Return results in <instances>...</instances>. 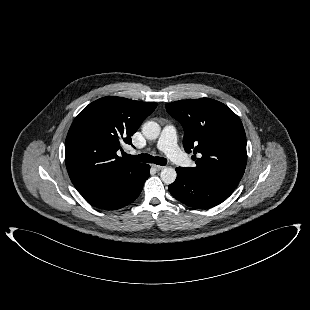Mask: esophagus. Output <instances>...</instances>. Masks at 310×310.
<instances>
[{
    "instance_id": "obj_1",
    "label": "esophagus",
    "mask_w": 310,
    "mask_h": 310,
    "mask_svg": "<svg viewBox=\"0 0 310 310\" xmlns=\"http://www.w3.org/2000/svg\"><path fill=\"white\" fill-rule=\"evenodd\" d=\"M152 167H153L154 169H156L157 171H160V170H162V169L165 168L164 166H160V165H156V164H153Z\"/></svg>"
}]
</instances>
